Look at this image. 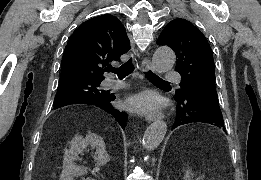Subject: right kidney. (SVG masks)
<instances>
[{
    "label": "right kidney",
    "instance_id": "obj_1",
    "mask_svg": "<svg viewBox=\"0 0 261 180\" xmlns=\"http://www.w3.org/2000/svg\"><path fill=\"white\" fill-rule=\"evenodd\" d=\"M95 148L96 156H94L97 166H105L109 160V156L106 152L105 142L101 136L97 134H87L86 138L83 136H75L70 142V150H66L63 156V170L61 174V180H70L71 176H82L86 174V170H81L78 166H75V160H78L79 154H82L85 148Z\"/></svg>",
    "mask_w": 261,
    "mask_h": 180
}]
</instances>
